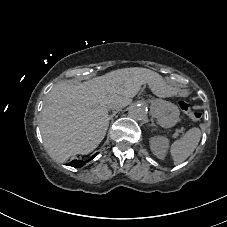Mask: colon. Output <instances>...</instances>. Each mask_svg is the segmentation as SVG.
Listing matches in <instances>:
<instances>
[{"label": "colon", "instance_id": "colon-1", "mask_svg": "<svg viewBox=\"0 0 227 227\" xmlns=\"http://www.w3.org/2000/svg\"><path fill=\"white\" fill-rule=\"evenodd\" d=\"M180 109L193 121H200L202 113L198 109H192L188 101H181L179 103Z\"/></svg>", "mask_w": 227, "mask_h": 227}]
</instances>
